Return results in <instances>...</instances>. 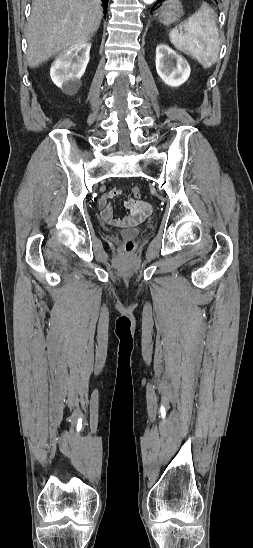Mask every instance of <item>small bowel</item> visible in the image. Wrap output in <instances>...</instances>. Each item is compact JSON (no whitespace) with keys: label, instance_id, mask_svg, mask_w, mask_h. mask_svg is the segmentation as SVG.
<instances>
[{"label":"small bowel","instance_id":"small-bowel-1","mask_svg":"<svg viewBox=\"0 0 253 548\" xmlns=\"http://www.w3.org/2000/svg\"><path fill=\"white\" fill-rule=\"evenodd\" d=\"M121 193L122 191L120 189H112L100 198L98 207L103 221L118 227L133 226L142 222L150 215L152 212V205L149 202L135 201L131 198H127L124 202V206L127 209L128 214L123 218H115L109 201Z\"/></svg>","mask_w":253,"mask_h":548}]
</instances>
